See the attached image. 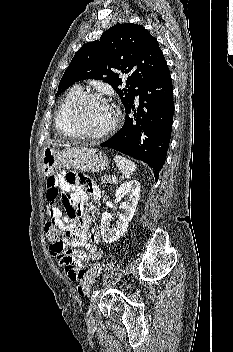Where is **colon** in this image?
<instances>
[{"label":"colon","mask_w":233,"mask_h":352,"mask_svg":"<svg viewBox=\"0 0 233 352\" xmlns=\"http://www.w3.org/2000/svg\"><path fill=\"white\" fill-rule=\"evenodd\" d=\"M45 234L52 243H56L61 247L65 246L67 237L64 231L51 222L46 223ZM103 268L104 264L98 263L88 270H80L77 273V291L79 295L86 296L89 293L91 286L95 283Z\"/></svg>","instance_id":"obj_1"}]
</instances>
